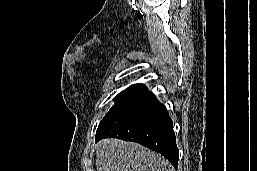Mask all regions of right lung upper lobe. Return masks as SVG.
<instances>
[{"mask_svg":"<svg viewBox=\"0 0 257 171\" xmlns=\"http://www.w3.org/2000/svg\"><path fill=\"white\" fill-rule=\"evenodd\" d=\"M139 87H145V86L142 85V84H136V85L130 86L127 90H132V89H136V88H139Z\"/></svg>","mask_w":257,"mask_h":171,"instance_id":"cb5924a9","label":"right lung upper lobe"}]
</instances>
